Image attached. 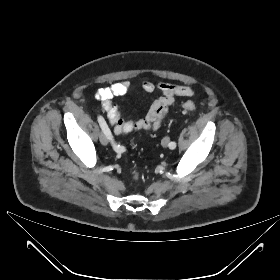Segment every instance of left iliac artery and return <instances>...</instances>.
<instances>
[{
  "label": "left iliac artery",
  "mask_w": 280,
  "mask_h": 280,
  "mask_svg": "<svg viewBox=\"0 0 280 280\" xmlns=\"http://www.w3.org/2000/svg\"><path fill=\"white\" fill-rule=\"evenodd\" d=\"M169 148L172 149V150L175 149L176 148V143L175 142H170L169 143Z\"/></svg>",
  "instance_id": "obj_1"
}]
</instances>
